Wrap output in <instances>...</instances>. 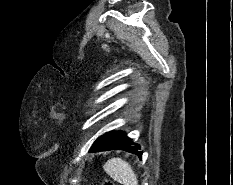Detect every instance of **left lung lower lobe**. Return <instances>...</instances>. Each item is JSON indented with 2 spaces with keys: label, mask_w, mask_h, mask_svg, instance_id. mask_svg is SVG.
I'll list each match as a JSON object with an SVG mask.
<instances>
[{
  "label": "left lung lower lobe",
  "mask_w": 233,
  "mask_h": 185,
  "mask_svg": "<svg viewBox=\"0 0 233 185\" xmlns=\"http://www.w3.org/2000/svg\"><path fill=\"white\" fill-rule=\"evenodd\" d=\"M139 145L134 144L124 132L107 133L100 136L92 145L91 152L105 150H125L142 158Z\"/></svg>",
  "instance_id": "1"
}]
</instances>
